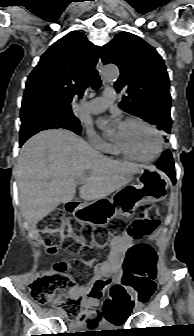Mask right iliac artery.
<instances>
[{"label":"right iliac artery","mask_w":194,"mask_h":336,"mask_svg":"<svg viewBox=\"0 0 194 336\" xmlns=\"http://www.w3.org/2000/svg\"><path fill=\"white\" fill-rule=\"evenodd\" d=\"M61 311V309L60 308H58V312H60Z\"/></svg>","instance_id":"82829eb1"}]
</instances>
